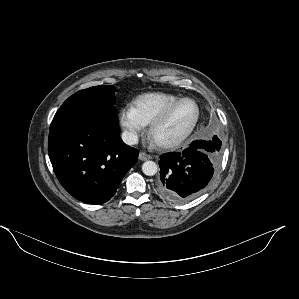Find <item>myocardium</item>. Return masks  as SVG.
I'll list each match as a JSON object with an SVG mask.
<instances>
[{"label":"myocardium","instance_id":"f54148a6","mask_svg":"<svg viewBox=\"0 0 299 299\" xmlns=\"http://www.w3.org/2000/svg\"><path fill=\"white\" fill-rule=\"evenodd\" d=\"M191 101L196 107V115L190 127L181 135L176 138L167 141H158L155 139V132L157 129L168 119L172 111L182 102ZM201 116V109L198 102L191 97H182L176 101L170 103L150 124V137L156 143V145L162 149H171L181 145L195 130Z\"/></svg>","mask_w":299,"mask_h":299}]
</instances>
